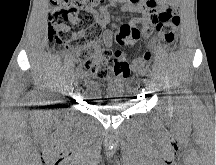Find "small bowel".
I'll return each mask as SVG.
<instances>
[{
	"instance_id": "1",
	"label": "small bowel",
	"mask_w": 216,
	"mask_h": 165,
	"mask_svg": "<svg viewBox=\"0 0 216 165\" xmlns=\"http://www.w3.org/2000/svg\"><path fill=\"white\" fill-rule=\"evenodd\" d=\"M179 3V0H111V5H121V9L124 12L142 13L141 18H134L132 20V27L136 28L140 35L148 34L151 30V26L154 24L153 18L159 13L165 10H174ZM93 15L96 21L104 28H106L112 21L108 13V7H101L98 11H93ZM140 37V36H139ZM139 37L132 39L129 44H134ZM113 43V32L109 29H105L102 36V45H97V50L110 47ZM117 75L128 77L127 73H119ZM93 89V86H92Z\"/></svg>"
}]
</instances>
